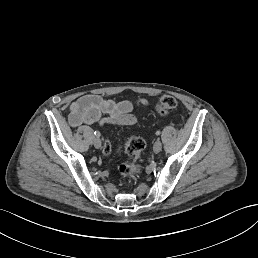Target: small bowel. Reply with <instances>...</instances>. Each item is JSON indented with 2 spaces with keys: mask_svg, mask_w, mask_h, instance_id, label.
<instances>
[{
  "mask_svg": "<svg viewBox=\"0 0 258 258\" xmlns=\"http://www.w3.org/2000/svg\"><path fill=\"white\" fill-rule=\"evenodd\" d=\"M139 106H148L146 99H139ZM134 105L128 100L117 101L99 95H85L70 106L69 123L73 127L82 124L134 125L137 118L133 114Z\"/></svg>",
  "mask_w": 258,
  "mask_h": 258,
  "instance_id": "c3829d8e",
  "label": "small bowel"
}]
</instances>
